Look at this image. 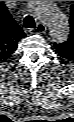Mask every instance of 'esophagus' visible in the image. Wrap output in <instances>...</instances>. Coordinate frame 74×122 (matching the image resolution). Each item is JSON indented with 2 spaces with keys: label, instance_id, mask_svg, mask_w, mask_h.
Segmentation results:
<instances>
[{
  "label": "esophagus",
  "instance_id": "obj_1",
  "mask_svg": "<svg viewBox=\"0 0 74 122\" xmlns=\"http://www.w3.org/2000/svg\"><path fill=\"white\" fill-rule=\"evenodd\" d=\"M45 31H46L45 25L43 23L39 22V23H37L36 28L30 30V33H32V34H42Z\"/></svg>",
  "mask_w": 74,
  "mask_h": 122
}]
</instances>
